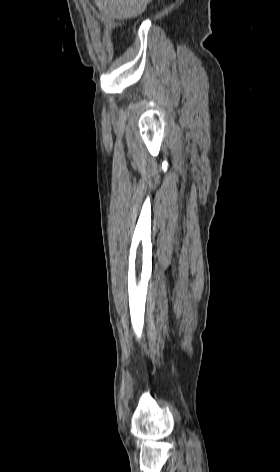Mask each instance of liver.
Returning a JSON list of instances; mask_svg holds the SVG:
<instances>
[{"instance_id": "6515ba94", "label": "liver", "mask_w": 280, "mask_h": 472, "mask_svg": "<svg viewBox=\"0 0 280 472\" xmlns=\"http://www.w3.org/2000/svg\"><path fill=\"white\" fill-rule=\"evenodd\" d=\"M150 0H94L99 11L103 13L102 20L111 17L128 19L142 14Z\"/></svg>"}]
</instances>
